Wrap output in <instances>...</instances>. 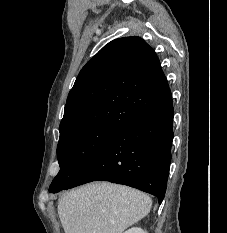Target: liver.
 I'll use <instances>...</instances> for the list:
<instances>
[{"label": "liver", "mask_w": 227, "mask_h": 233, "mask_svg": "<svg viewBox=\"0 0 227 233\" xmlns=\"http://www.w3.org/2000/svg\"><path fill=\"white\" fill-rule=\"evenodd\" d=\"M151 207V198L139 190L96 182L64 194L58 215L65 233H123Z\"/></svg>", "instance_id": "6515ba94"}]
</instances>
